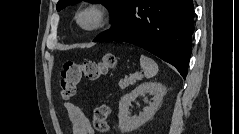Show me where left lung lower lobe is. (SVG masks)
Returning <instances> with one entry per match:
<instances>
[{
	"label": "left lung lower lobe",
	"mask_w": 239,
	"mask_h": 134,
	"mask_svg": "<svg viewBox=\"0 0 239 134\" xmlns=\"http://www.w3.org/2000/svg\"><path fill=\"white\" fill-rule=\"evenodd\" d=\"M193 0H131L119 21L94 42L139 46L172 64L185 79L194 32Z\"/></svg>",
	"instance_id": "1"
}]
</instances>
